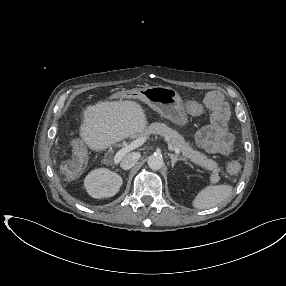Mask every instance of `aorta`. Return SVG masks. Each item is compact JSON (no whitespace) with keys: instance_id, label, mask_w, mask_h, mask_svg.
I'll return each mask as SVG.
<instances>
[{"instance_id":"obj_1","label":"aorta","mask_w":286,"mask_h":286,"mask_svg":"<svg viewBox=\"0 0 286 286\" xmlns=\"http://www.w3.org/2000/svg\"><path fill=\"white\" fill-rule=\"evenodd\" d=\"M147 163L149 168L152 170H159L164 165L163 157L159 154H153L149 156Z\"/></svg>"}]
</instances>
